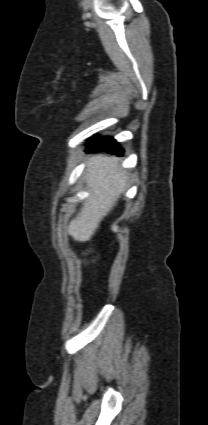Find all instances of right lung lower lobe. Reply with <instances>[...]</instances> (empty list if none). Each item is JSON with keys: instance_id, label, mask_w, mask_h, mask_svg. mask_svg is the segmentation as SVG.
Masks as SVG:
<instances>
[{"instance_id": "98d812e1", "label": "right lung lower lobe", "mask_w": 208, "mask_h": 425, "mask_svg": "<svg viewBox=\"0 0 208 425\" xmlns=\"http://www.w3.org/2000/svg\"><path fill=\"white\" fill-rule=\"evenodd\" d=\"M87 152H110L117 153L118 155L123 154V149L119 147L118 143L109 137L98 138L94 137L88 145Z\"/></svg>"}]
</instances>
